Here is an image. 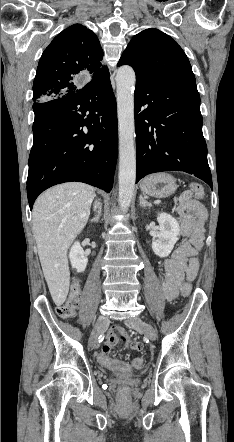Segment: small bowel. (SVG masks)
<instances>
[{"instance_id": "small-bowel-1", "label": "small bowel", "mask_w": 234, "mask_h": 442, "mask_svg": "<svg viewBox=\"0 0 234 442\" xmlns=\"http://www.w3.org/2000/svg\"><path fill=\"white\" fill-rule=\"evenodd\" d=\"M176 213L180 219L181 232L189 239V242L178 247L163 263L162 287L168 301L177 296L178 289L184 280L193 281L197 276L199 269L197 252L202 246L204 226L207 220L205 207L193 199L190 192L181 195L176 206ZM120 340H126L127 345L138 350L139 353L145 350L141 342L131 343L115 327L108 333L101 350L111 351Z\"/></svg>"}]
</instances>
